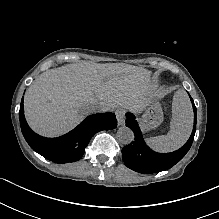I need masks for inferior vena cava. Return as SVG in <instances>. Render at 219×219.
<instances>
[{"label":"inferior vena cava","instance_id":"1","mask_svg":"<svg viewBox=\"0 0 219 219\" xmlns=\"http://www.w3.org/2000/svg\"><path fill=\"white\" fill-rule=\"evenodd\" d=\"M89 109L91 110L92 113H99V112L109 111L108 107L106 105L101 104V103L90 104Z\"/></svg>","mask_w":219,"mask_h":219}]
</instances>
